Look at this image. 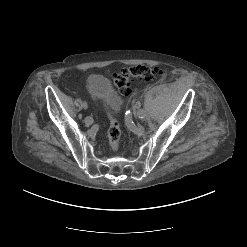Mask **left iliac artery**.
<instances>
[{"label":"left iliac artery","instance_id":"44dca946","mask_svg":"<svg viewBox=\"0 0 247 247\" xmlns=\"http://www.w3.org/2000/svg\"><path fill=\"white\" fill-rule=\"evenodd\" d=\"M138 115H139V118H143L144 116H146V112L143 109H140L138 111Z\"/></svg>","mask_w":247,"mask_h":247}]
</instances>
